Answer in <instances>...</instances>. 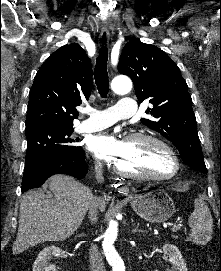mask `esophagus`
Returning a JSON list of instances; mask_svg holds the SVG:
<instances>
[{"label": "esophagus", "mask_w": 221, "mask_h": 271, "mask_svg": "<svg viewBox=\"0 0 221 271\" xmlns=\"http://www.w3.org/2000/svg\"><path fill=\"white\" fill-rule=\"evenodd\" d=\"M108 39H109V30L107 28H102L100 32V37H99V47L101 48L105 47ZM120 188L125 193L129 192V188L124 182L120 183Z\"/></svg>", "instance_id": "1"}]
</instances>
